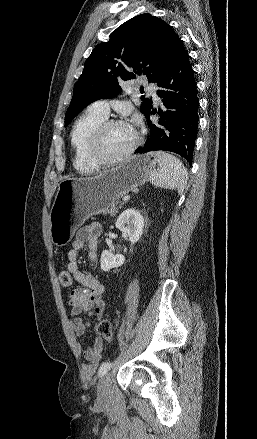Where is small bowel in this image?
Here are the masks:
<instances>
[{
	"instance_id": "c3829d8e",
	"label": "small bowel",
	"mask_w": 257,
	"mask_h": 439,
	"mask_svg": "<svg viewBox=\"0 0 257 439\" xmlns=\"http://www.w3.org/2000/svg\"><path fill=\"white\" fill-rule=\"evenodd\" d=\"M101 226L96 222L89 223L80 228L72 241V248L68 251L67 272L80 285V288L71 291L69 306L71 309L72 321L70 327L78 338L82 336L90 323L81 316L97 315L101 319L105 312V301L103 295L104 285L93 275L82 271L79 268L78 258L80 251L87 245V257L90 261L96 262L98 258V243L101 234ZM103 352V338L97 335L93 345L83 351V356L88 362L82 366L85 378L91 376L96 370Z\"/></svg>"
}]
</instances>
